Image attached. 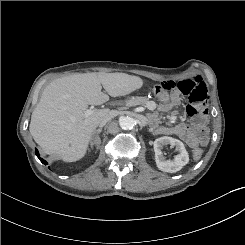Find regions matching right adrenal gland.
<instances>
[{"instance_id":"right-adrenal-gland-1","label":"right adrenal gland","mask_w":245,"mask_h":245,"mask_svg":"<svg viewBox=\"0 0 245 245\" xmlns=\"http://www.w3.org/2000/svg\"><path fill=\"white\" fill-rule=\"evenodd\" d=\"M102 132V127L98 128L97 130H95L94 134H93V137H92V140H91V145H94L96 144L97 145V149L99 148L100 146V143H101V140H100V137H99V134Z\"/></svg>"}]
</instances>
